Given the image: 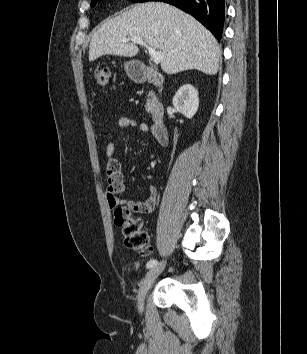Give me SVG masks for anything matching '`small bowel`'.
<instances>
[{
	"mask_svg": "<svg viewBox=\"0 0 307 354\" xmlns=\"http://www.w3.org/2000/svg\"><path fill=\"white\" fill-rule=\"evenodd\" d=\"M118 127L122 129L137 128L142 133L149 132V126L145 122H138L131 117H121L118 119ZM115 143L108 140L104 144V156L106 162L107 187L106 198L109 206L115 208L119 204L129 206L133 212L137 213H151L156 205L158 198V191L155 187L149 188L148 197L144 201H123L117 198V195L122 192L124 188L123 175L119 162L114 158Z\"/></svg>",
	"mask_w": 307,
	"mask_h": 354,
	"instance_id": "small-bowel-1",
	"label": "small bowel"
}]
</instances>
